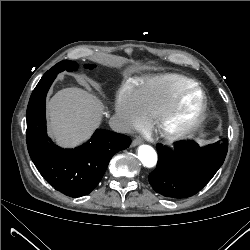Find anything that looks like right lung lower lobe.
I'll list each match as a JSON object with an SVG mask.
<instances>
[{
	"label": "right lung lower lobe",
	"mask_w": 250,
	"mask_h": 250,
	"mask_svg": "<svg viewBox=\"0 0 250 250\" xmlns=\"http://www.w3.org/2000/svg\"><path fill=\"white\" fill-rule=\"evenodd\" d=\"M57 74L42 77L27 107L26 140L30 157L40 174L57 191L70 197L89 194L100 182L112 156L129 147L128 136L98 129L75 149H62L46 133V94Z\"/></svg>",
	"instance_id": "98d812e1"
}]
</instances>
